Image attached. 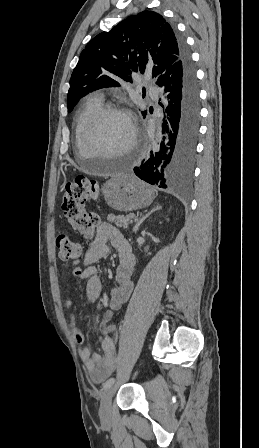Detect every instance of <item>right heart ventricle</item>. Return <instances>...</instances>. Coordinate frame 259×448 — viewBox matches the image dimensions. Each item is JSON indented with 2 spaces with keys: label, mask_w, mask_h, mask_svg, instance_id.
Wrapping results in <instances>:
<instances>
[{
  "label": "right heart ventricle",
  "mask_w": 259,
  "mask_h": 448,
  "mask_svg": "<svg viewBox=\"0 0 259 448\" xmlns=\"http://www.w3.org/2000/svg\"><path fill=\"white\" fill-rule=\"evenodd\" d=\"M103 106L102 98H99L96 94L90 95L77 116L75 125H74V133H73V142L74 148H82L81 135L82 130L86 122Z\"/></svg>",
  "instance_id": "1"
}]
</instances>
